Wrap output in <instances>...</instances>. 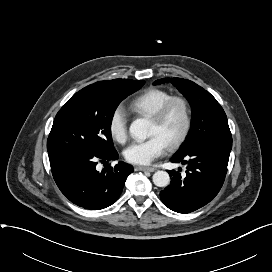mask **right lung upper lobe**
Returning <instances> with one entry per match:
<instances>
[{
	"instance_id": "cb5924a9",
	"label": "right lung upper lobe",
	"mask_w": 272,
	"mask_h": 272,
	"mask_svg": "<svg viewBox=\"0 0 272 272\" xmlns=\"http://www.w3.org/2000/svg\"><path fill=\"white\" fill-rule=\"evenodd\" d=\"M118 80L119 79H114V80H109V81H100V82H96L95 84H92V85L108 87V86H111V85L115 84L116 82H118Z\"/></svg>"
}]
</instances>
